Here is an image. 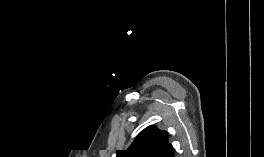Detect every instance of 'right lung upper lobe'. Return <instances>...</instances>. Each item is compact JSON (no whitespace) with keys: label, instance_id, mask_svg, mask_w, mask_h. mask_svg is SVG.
<instances>
[{"label":"right lung upper lobe","instance_id":"right-lung-upper-lobe-1","mask_svg":"<svg viewBox=\"0 0 264 157\" xmlns=\"http://www.w3.org/2000/svg\"><path fill=\"white\" fill-rule=\"evenodd\" d=\"M166 131L149 126L136 137L127 150H118L116 157H174Z\"/></svg>","mask_w":264,"mask_h":157}]
</instances>
